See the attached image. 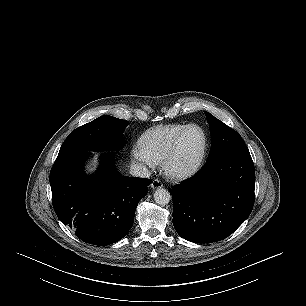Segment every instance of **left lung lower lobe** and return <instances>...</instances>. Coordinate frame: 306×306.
<instances>
[{
  "label": "left lung lower lobe",
  "mask_w": 306,
  "mask_h": 306,
  "mask_svg": "<svg viewBox=\"0 0 306 306\" xmlns=\"http://www.w3.org/2000/svg\"><path fill=\"white\" fill-rule=\"evenodd\" d=\"M254 188L249 151L207 161L196 175L172 188L175 230L196 243L225 239L250 215Z\"/></svg>",
  "instance_id": "1"
}]
</instances>
